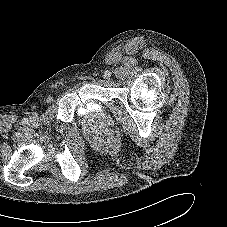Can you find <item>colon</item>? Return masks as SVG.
Here are the masks:
<instances>
[{
    "label": "colon",
    "instance_id": "obj_1",
    "mask_svg": "<svg viewBox=\"0 0 227 227\" xmlns=\"http://www.w3.org/2000/svg\"><path fill=\"white\" fill-rule=\"evenodd\" d=\"M97 140L99 146L106 148L111 145L113 138L108 133H101L99 134Z\"/></svg>",
    "mask_w": 227,
    "mask_h": 227
}]
</instances>
